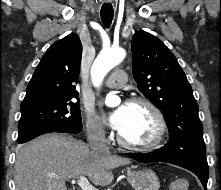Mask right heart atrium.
I'll return each instance as SVG.
<instances>
[{
	"label": "right heart atrium",
	"instance_id": "1",
	"mask_svg": "<svg viewBox=\"0 0 221 190\" xmlns=\"http://www.w3.org/2000/svg\"><path fill=\"white\" fill-rule=\"evenodd\" d=\"M84 119L88 138L94 142H106L107 135L103 123L91 108L85 109Z\"/></svg>",
	"mask_w": 221,
	"mask_h": 190
}]
</instances>
